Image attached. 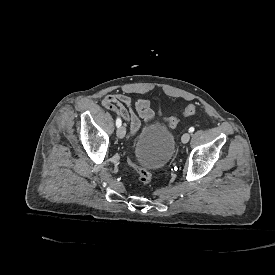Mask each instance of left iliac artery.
<instances>
[{"mask_svg": "<svg viewBox=\"0 0 275 275\" xmlns=\"http://www.w3.org/2000/svg\"><path fill=\"white\" fill-rule=\"evenodd\" d=\"M194 131V127L189 128V132L192 133Z\"/></svg>", "mask_w": 275, "mask_h": 275, "instance_id": "left-iliac-artery-1", "label": "left iliac artery"}]
</instances>
